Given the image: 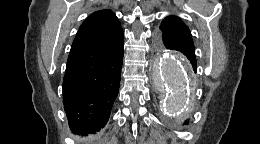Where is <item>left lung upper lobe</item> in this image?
<instances>
[{
    "label": "left lung upper lobe",
    "instance_id": "5c2ea615",
    "mask_svg": "<svg viewBox=\"0 0 260 144\" xmlns=\"http://www.w3.org/2000/svg\"><path fill=\"white\" fill-rule=\"evenodd\" d=\"M160 35L170 34L175 36H183L192 38L191 32L187 25L182 22V20L176 16L166 17L160 25ZM161 44H164L161 42ZM165 46V45H164Z\"/></svg>",
    "mask_w": 260,
    "mask_h": 144
}]
</instances>
